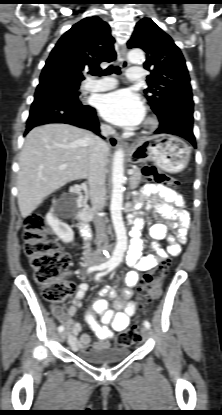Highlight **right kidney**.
<instances>
[{
	"label": "right kidney",
	"mask_w": 222,
	"mask_h": 415,
	"mask_svg": "<svg viewBox=\"0 0 222 415\" xmlns=\"http://www.w3.org/2000/svg\"><path fill=\"white\" fill-rule=\"evenodd\" d=\"M47 223L51 226L54 233L65 243L72 242L74 239V232L71 227L62 222L53 209L46 216Z\"/></svg>",
	"instance_id": "1"
}]
</instances>
